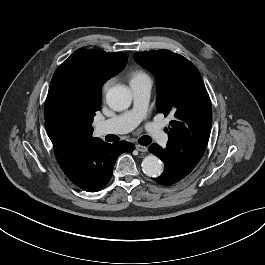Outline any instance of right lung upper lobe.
<instances>
[{
  "mask_svg": "<svg viewBox=\"0 0 265 265\" xmlns=\"http://www.w3.org/2000/svg\"><path fill=\"white\" fill-rule=\"evenodd\" d=\"M127 59V53H107L81 48L75 51L65 62L76 60V76L101 87L125 67ZM45 126L61 167L73 161L91 142L101 140L92 137L93 128L89 122L71 133H61L50 125L45 124Z\"/></svg>",
  "mask_w": 265,
  "mask_h": 265,
  "instance_id": "1",
  "label": "right lung upper lobe"
}]
</instances>
